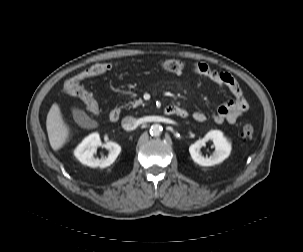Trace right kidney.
Wrapping results in <instances>:
<instances>
[{
	"label": "right kidney",
	"instance_id": "obj_1",
	"mask_svg": "<svg viewBox=\"0 0 303 252\" xmlns=\"http://www.w3.org/2000/svg\"><path fill=\"white\" fill-rule=\"evenodd\" d=\"M104 146L109 150L108 157L95 158L94 153L97 147ZM121 152V147L115 142L102 144L98 133H92L87 136L74 150L75 157L84 165L89 167L105 168L110 166Z\"/></svg>",
	"mask_w": 303,
	"mask_h": 252
}]
</instances>
